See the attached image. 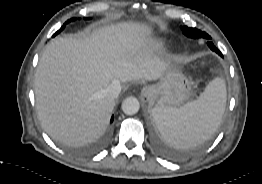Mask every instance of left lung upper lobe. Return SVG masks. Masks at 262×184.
Segmentation results:
<instances>
[{
    "label": "left lung upper lobe",
    "mask_w": 262,
    "mask_h": 184,
    "mask_svg": "<svg viewBox=\"0 0 262 184\" xmlns=\"http://www.w3.org/2000/svg\"><path fill=\"white\" fill-rule=\"evenodd\" d=\"M182 30H183V33H184L186 36L190 37V38H206V39H211L210 36H209L207 33L202 32V31H200V30H198V29H195V28H189V27L184 26V27L182 28Z\"/></svg>",
    "instance_id": "obj_1"
}]
</instances>
